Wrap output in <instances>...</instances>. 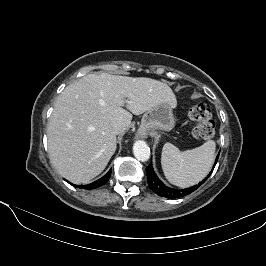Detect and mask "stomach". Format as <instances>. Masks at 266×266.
<instances>
[{
	"instance_id": "obj_1",
	"label": "stomach",
	"mask_w": 266,
	"mask_h": 266,
	"mask_svg": "<svg viewBox=\"0 0 266 266\" xmlns=\"http://www.w3.org/2000/svg\"><path fill=\"white\" fill-rule=\"evenodd\" d=\"M173 106L167 102L149 109L142 117L140 133L150 130L170 131L175 125Z\"/></svg>"
}]
</instances>
